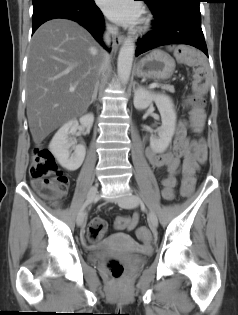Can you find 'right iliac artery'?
I'll use <instances>...</instances> for the list:
<instances>
[{
  "mask_svg": "<svg viewBox=\"0 0 238 315\" xmlns=\"http://www.w3.org/2000/svg\"><path fill=\"white\" fill-rule=\"evenodd\" d=\"M89 204V201H86L83 205V208L86 207Z\"/></svg>",
  "mask_w": 238,
  "mask_h": 315,
  "instance_id": "82829eb1",
  "label": "right iliac artery"
}]
</instances>
